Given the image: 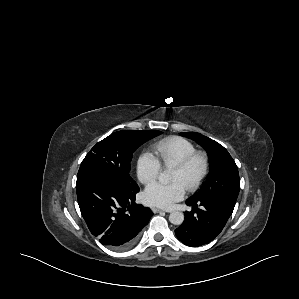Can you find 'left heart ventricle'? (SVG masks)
<instances>
[{
  "label": "left heart ventricle",
  "mask_w": 299,
  "mask_h": 299,
  "mask_svg": "<svg viewBox=\"0 0 299 299\" xmlns=\"http://www.w3.org/2000/svg\"><path fill=\"white\" fill-rule=\"evenodd\" d=\"M201 166V162L196 161L186 172H180L178 170L173 169L171 174V181H179L186 187L188 184L193 182L199 175L201 171Z\"/></svg>",
  "instance_id": "b2bd125f"
}]
</instances>
